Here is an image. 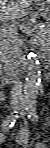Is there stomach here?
<instances>
[{"label":"stomach","mask_w":50,"mask_h":148,"mask_svg":"<svg viewBox=\"0 0 50 148\" xmlns=\"http://www.w3.org/2000/svg\"><path fill=\"white\" fill-rule=\"evenodd\" d=\"M44 4H45L47 7H49V6H50V1H49V0H46V1H44Z\"/></svg>","instance_id":"0dacf381"}]
</instances>
